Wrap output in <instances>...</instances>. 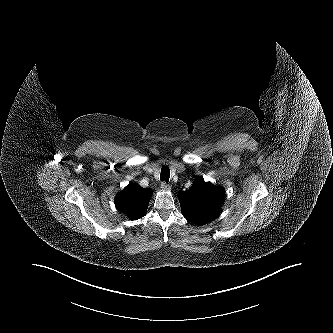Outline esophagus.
Masks as SVG:
<instances>
[{
	"instance_id": "esophagus-1",
	"label": "esophagus",
	"mask_w": 333,
	"mask_h": 333,
	"mask_svg": "<svg viewBox=\"0 0 333 333\" xmlns=\"http://www.w3.org/2000/svg\"><path fill=\"white\" fill-rule=\"evenodd\" d=\"M161 188L167 191L171 189V186L164 181L161 183Z\"/></svg>"
}]
</instances>
